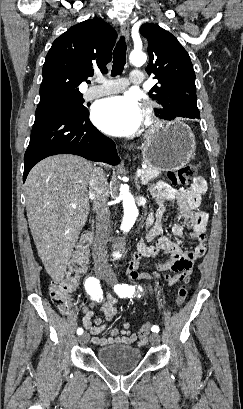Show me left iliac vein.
I'll use <instances>...</instances> for the list:
<instances>
[{
	"label": "left iliac vein",
	"instance_id": "left-iliac-vein-1",
	"mask_svg": "<svg viewBox=\"0 0 243 409\" xmlns=\"http://www.w3.org/2000/svg\"><path fill=\"white\" fill-rule=\"evenodd\" d=\"M106 282L113 286L117 283L116 276L114 274H108L107 277L105 278ZM149 340L151 344L153 345H158L160 343V335L157 333H152L149 337Z\"/></svg>",
	"mask_w": 243,
	"mask_h": 409
}]
</instances>
